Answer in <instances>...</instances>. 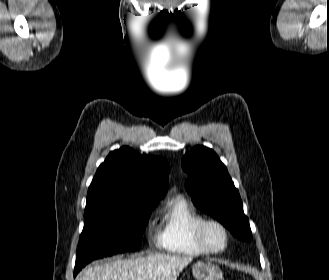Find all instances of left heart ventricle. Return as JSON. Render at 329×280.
<instances>
[{"label": "left heart ventricle", "instance_id": "left-heart-ventricle-1", "mask_svg": "<svg viewBox=\"0 0 329 280\" xmlns=\"http://www.w3.org/2000/svg\"><path fill=\"white\" fill-rule=\"evenodd\" d=\"M206 239L213 248H221L224 245L225 237L223 232L216 226H209L206 230Z\"/></svg>", "mask_w": 329, "mask_h": 280}]
</instances>
